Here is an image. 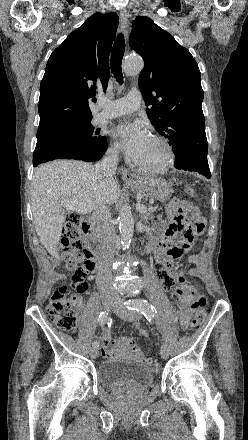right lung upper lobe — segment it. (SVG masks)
I'll return each mask as SVG.
<instances>
[{
    "label": "right lung upper lobe",
    "mask_w": 248,
    "mask_h": 440,
    "mask_svg": "<svg viewBox=\"0 0 248 440\" xmlns=\"http://www.w3.org/2000/svg\"><path fill=\"white\" fill-rule=\"evenodd\" d=\"M117 27V14L95 13L51 54L41 81L38 131L92 118L88 102L107 88Z\"/></svg>",
    "instance_id": "1"
}]
</instances>
